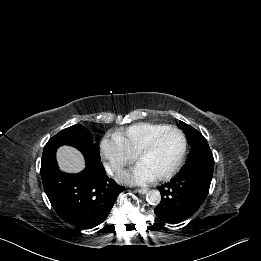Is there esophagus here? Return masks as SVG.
Masks as SVG:
<instances>
[{"label": "esophagus", "instance_id": "esophagus-1", "mask_svg": "<svg viewBox=\"0 0 261 261\" xmlns=\"http://www.w3.org/2000/svg\"><path fill=\"white\" fill-rule=\"evenodd\" d=\"M136 192H138L139 194H145L147 192L146 188H138L136 189Z\"/></svg>", "mask_w": 261, "mask_h": 261}]
</instances>
